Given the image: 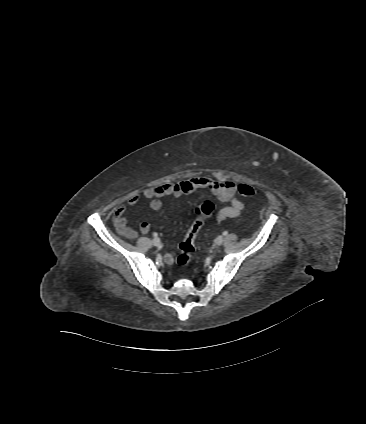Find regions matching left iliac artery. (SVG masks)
<instances>
[{"label": "left iliac artery", "mask_w": 366, "mask_h": 424, "mask_svg": "<svg viewBox=\"0 0 366 424\" xmlns=\"http://www.w3.org/2000/svg\"><path fill=\"white\" fill-rule=\"evenodd\" d=\"M227 234H228V232H227V231H224V232H223V235H225V236H226Z\"/></svg>", "instance_id": "44dca946"}]
</instances>
